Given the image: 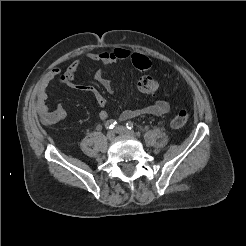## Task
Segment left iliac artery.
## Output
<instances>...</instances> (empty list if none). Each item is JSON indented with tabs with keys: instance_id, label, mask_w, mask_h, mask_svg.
<instances>
[{
	"instance_id": "left-iliac-artery-1",
	"label": "left iliac artery",
	"mask_w": 246,
	"mask_h": 246,
	"mask_svg": "<svg viewBox=\"0 0 246 246\" xmlns=\"http://www.w3.org/2000/svg\"><path fill=\"white\" fill-rule=\"evenodd\" d=\"M126 127H127V129L132 130V129L134 128L133 122L128 121V122L126 123Z\"/></svg>"
}]
</instances>
